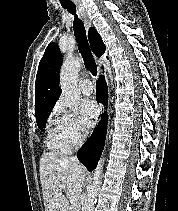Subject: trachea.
I'll return each instance as SVG.
<instances>
[{"mask_svg":"<svg viewBox=\"0 0 178 211\" xmlns=\"http://www.w3.org/2000/svg\"><path fill=\"white\" fill-rule=\"evenodd\" d=\"M64 9H67V11L74 15V21H73V30L74 35L78 43V49L81 54V56L84 59V63L86 68L90 71V73L93 76L97 75V66L94 60V57L91 53L90 46L86 37V31L84 24L80 18H78L76 14V7L75 6H66L63 7Z\"/></svg>","mask_w":178,"mask_h":211,"instance_id":"obj_1","label":"trachea"}]
</instances>
